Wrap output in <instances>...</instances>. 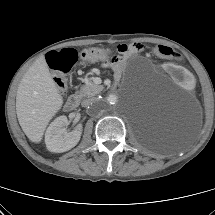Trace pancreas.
<instances>
[{
    "label": "pancreas",
    "instance_id": "obj_1",
    "mask_svg": "<svg viewBox=\"0 0 215 215\" xmlns=\"http://www.w3.org/2000/svg\"><path fill=\"white\" fill-rule=\"evenodd\" d=\"M102 90H103L102 85H96L92 82L91 79H86V84L83 85L80 88V90L76 92V95L79 98L92 97V96L98 94Z\"/></svg>",
    "mask_w": 215,
    "mask_h": 215
}]
</instances>
